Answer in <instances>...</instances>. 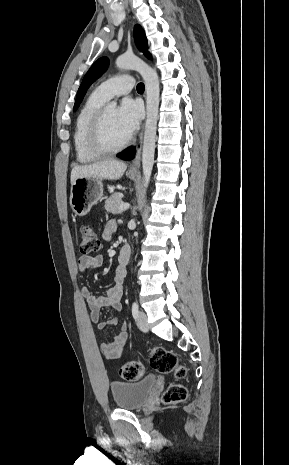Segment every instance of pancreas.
Here are the masks:
<instances>
[{"instance_id": "cf45deb5", "label": "pancreas", "mask_w": 289, "mask_h": 465, "mask_svg": "<svg viewBox=\"0 0 289 465\" xmlns=\"http://www.w3.org/2000/svg\"><path fill=\"white\" fill-rule=\"evenodd\" d=\"M122 194L121 193H114L112 194L106 201H105V210L112 214H118L122 211L120 210L122 201Z\"/></svg>"}]
</instances>
